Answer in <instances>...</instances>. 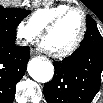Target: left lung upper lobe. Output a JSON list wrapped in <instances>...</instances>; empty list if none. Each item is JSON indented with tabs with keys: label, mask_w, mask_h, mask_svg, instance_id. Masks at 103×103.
Masks as SVG:
<instances>
[{
	"label": "left lung upper lobe",
	"mask_w": 103,
	"mask_h": 103,
	"mask_svg": "<svg viewBox=\"0 0 103 103\" xmlns=\"http://www.w3.org/2000/svg\"><path fill=\"white\" fill-rule=\"evenodd\" d=\"M86 26H87V28H89V27H95L96 26V22L89 15H87V18H86Z\"/></svg>",
	"instance_id": "5c2ea615"
}]
</instances>
